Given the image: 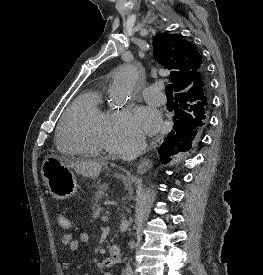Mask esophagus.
<instances>
[{
  "label": "esophagus",
  "mask_w": 263,
  "mask_h": 275,
  "mask_svg": "<svg viewBox=\"0 0 263 275\" xmlns=\"http://www.w3.org/2000/svg\"><path fill=\"white\" fill-rule=\"evenodd\" d=\"M143 167H144L143 165H140V167H139V168H140V169H142Z\"/></svg>",
  "instance_id": "esophagus-1"
}]
</instances>
